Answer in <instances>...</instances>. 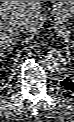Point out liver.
<instances>
[{
  "label": "liver",
  "mask_w": 74,
  "mask_h": 122,
  "mask_svg": "<svg viewBox=\"0 0 74 122\" xmlns=\"http://www.w3.org/2000/svg\"><path fill=\"white\" fill-rule=\"evenodd\" d=\"M45 1H0V49L18 41L19 31L16 23H24V30L32 33L42 25L45 18L42 15Z\"/></svg>",
  "instance_id": "obj_1"
}]
</instances>
